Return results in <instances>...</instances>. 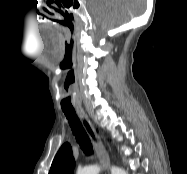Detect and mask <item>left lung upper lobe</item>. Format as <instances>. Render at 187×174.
<instances>
[{"label":"left lung upper lobe","instance_id":"1","mask_svg":"<svg viewBox=\"0 0 187 174\" xmlns=\"http://www.w3.org/2000/svg\"><path fill=\"white\" fill-rule=\"evenodd\" d=\"M74 166L71 146L65 143L56 154L49 174H73Z\"/></svg>","mask_w":187,"mask_h":174}]
</instances>
